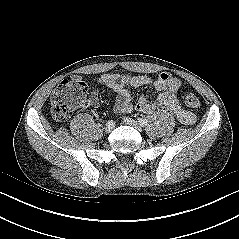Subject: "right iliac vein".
<instances>
[{
  "label": "right iliac vein",
  "mask_w": 239,
  "mask_h": 239,
  "mask_svg": "<svg viewBox=\"0 0 239 239\" xmlns=\"http://www.w3.org/2000/svg\"><path fill=\"white\" fill-rule=\"evenodd\" d=\"M113 128H114V126H110V125H107V124H106V126H105V128H104V131H105L106 133H110V132L113 130Z\"/></svg>",
  "instance_id": "right-iliac-vein-1"
}]
</instances>
